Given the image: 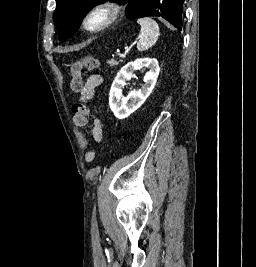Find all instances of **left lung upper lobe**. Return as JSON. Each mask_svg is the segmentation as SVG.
<instances>
[{
  "label": "left lung upper lobe",
  "instance_id": "1",
  "mask_svg": "<svg viewBox=\"0 0 256 267\" xmlns=\"http://www.w3.org/2000/svg\"><path fill=\"white\" fill-rule=\"evenodd\" d=\"M106 0H56L54 12L58 37L65 41L79 28L87 11L94 5ZM117 1V0H113ZM129 2L127 16L136 19L146 16H159L175 27V0H122Z\"/></svg>",
  "mask_w": 256,
  "mask_h": 267
}]
</instances>
